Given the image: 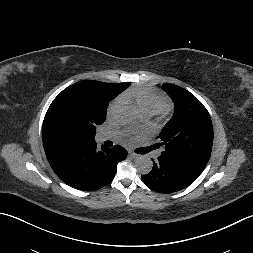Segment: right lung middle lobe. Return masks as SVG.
<instances>
[{
	"mask_svg": "<svg viewBox=\"0 0 253 253\" xmlns=\"http://www.w3.org/2000/svg\"><path fill=\"white\" fill-rule=\"evenodd\" d=\"M131 83H99L93 87L71 85L53 100L44 118L43 143L79 147L95 143L97 125L106 119L109 102Z\"/></svg>",
	"mask_w": 253,
	"mask_h": 253,
	"instance_id": "dd1d6c3e",
	"label": "right lung middle lobe"
}]
</instances>
